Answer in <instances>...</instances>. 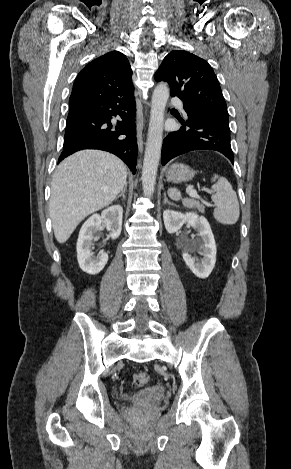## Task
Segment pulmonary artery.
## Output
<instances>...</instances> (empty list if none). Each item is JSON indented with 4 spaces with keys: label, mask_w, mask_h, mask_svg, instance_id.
<instances>
[{
    "label": "pulmonary artery",
    "mask_w": 291,
    "mask_h": 469,
    "mask_svg": "<svg viewBox=\"0 0 291 469\" xmlns=\"http://www.w3.org/2000/svg\"><path fill=\"white\" fill-rule=\"evenodd\" d=\"M171 103L179 108H183V102L179 98H172Z\"/></svg>",
    "instance_id": "e3ab8cb5"
}]
</instances>
